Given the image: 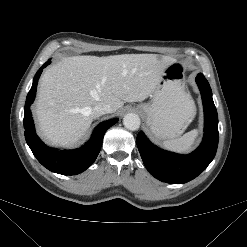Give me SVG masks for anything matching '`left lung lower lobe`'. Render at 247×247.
I'll use <instances>...</instances> for the list:
<instances>
[{"label": "left lung lower lobe", "mask_w": 247, "mask_h": 247, "mask_svg": "<svg viewBox=\"0 0 247 247\" xmlns=\"http://www.w3.org/2000/svg\"><path fill=\"white\" fill-rule=\"evenodd\" d=\"M200 89L205 117L204 137L201 145L188 155L164 151L153 145L143 132L137 135V146L149 173L162 182L182 184L196 178L213 160L218 146V116L212 91L202 73L196 77Z\"/></svg>", "instance_id": "0a47b994"}]
</instances>
